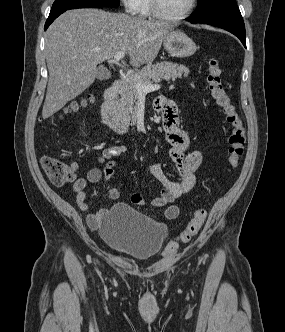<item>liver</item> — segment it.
Returning <instances> with one entry per match:
<instances>
[{"instance_id":"1","label":"liver","mask_w":285,"mask_h":332,"mask_svg":"<svg viewBox=\"0 0 285 332\" xmlns=\"http://www.w3.org/2000/svg\"><path fill=\"white\" fill-rule=\"evenodd\" d=\"M170 30L167 23L98 9H74L60 15L46 32L49 80L43 119L93 84L97 65L117 52H127L136 68L151 63Z\"/></svg>"}]
</instances>
